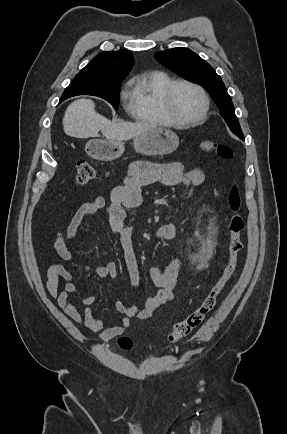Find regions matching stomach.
Segmentation results:
<instances>
[{
  "label": "stomach",
  "instance_id": "obj_1",
  "mask_svg": "<svg viewBox=\"0 0 287 434\" xmlns=\"http://www.w3.org/2000/svg\"><path fill=\"white\" fill-rule=\"evenodd\" d=\"M133 145L135 151L143 155H165L177 149L179 138L169 129L154 127L136 136ZM124 150L122 141L91 140L86 144L87 154L101 161L115 160L124 153Z\"/></svg>",
  "mask_w": 287,
  "mask_h": 434
}]
</instances>
